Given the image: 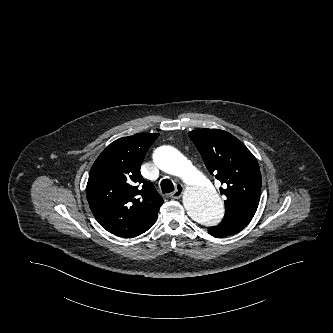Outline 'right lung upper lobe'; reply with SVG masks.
Wrapping results in <instances>:
<instances>
[{
    "label": "right lung upper lobe",
    "instance_id": "1",
    "mask_svg": "<svg viewBox=\"0 0 333 333\" xmlns=\"http://www.w3.org/2000/svg\"><path fill=\"white\" fill-rule=\"evenodd\" d=\"M158 136L138 133L117 139L91 168L86 187L90 209L102 227L114 235L138 236L157 220L163 199L142 177L140 167Z\"/></svg>",
    "mask_w": 333,
    "mask_h": 333
}]
</instances>
